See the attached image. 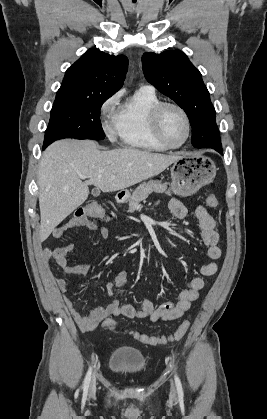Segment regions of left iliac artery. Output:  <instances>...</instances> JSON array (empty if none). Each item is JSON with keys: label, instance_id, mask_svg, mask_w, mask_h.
<instances>
[{"label": "left iliac artery", "instance_id": "obj_1", "mask_svg": "<svg viewBox=\"0 0 267 419\" xmlns=\"http://www.w3.org/2000/svg\"><path fill=\"white\" fill-rule=\"evenodd\" d=\"M174 379H175V384H176L178 395L183 396L182 384H181V381H180L179 377L177 376V374L174 375Z\"/></svg>", "mask_w": 267, "mask_h": 419}]
</instances>
